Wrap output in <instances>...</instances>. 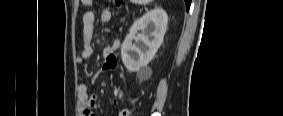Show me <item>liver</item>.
Instances as JSON below:
<instances>
[{"label": "liver", "instance_id": "6515ba94", "mask_svg": "<svg viewBox=\"0 0 283 116\" xmlns=\"http://www.w3.org/2000/svg\"><path fill=\"white\" fill-rule=\"evenodd\" d=\"M135 2L141 3V4H147V3L151 2V0H136Z\"/></svg>", "mask_w": 283, "mask_h": 116}]
</instances>
